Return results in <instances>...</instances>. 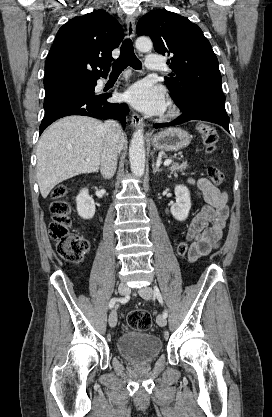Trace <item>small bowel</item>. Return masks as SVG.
I'll use <instances>...</instances> for the list:
<instances>
[{"instance_id":"c3829d8e","label":"small bowel","mask_w":272,"mask_h":417,"mask_svg":"<svg viewBox=\"0 0 272 417\" xmlns=\"http://www.w3.org/2000/svg\"><path fill=\"white\" fill-rule=\"evenodd\" d=\"M188 183L196 187L197 194L205 201L187 226L186 239L190 242L188 257L194 262L220 245L229 215L228 194L204 177L197 180L189 178Z\"/></svg>"}]
</instances>
